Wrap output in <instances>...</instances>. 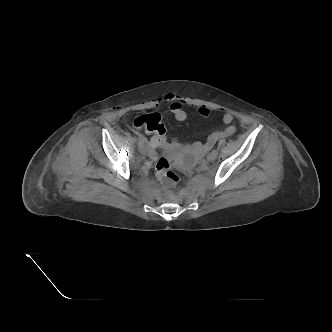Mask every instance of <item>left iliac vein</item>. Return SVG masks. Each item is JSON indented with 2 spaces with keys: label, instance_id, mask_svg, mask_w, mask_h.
Segmentation results:
<instances>
[{
  "label": "left iliac vein",
  "instance_id": "left-iliac-vein-1",
  "mask_svg": "<svg viewBox=\"0 0 332 332\" xmlns=\"http://www.w3.org/2000/svg\"><path fill=\"white\" fill-rule=\"evenodd\" d=\"M216 158V155H214L212 152L207 155V160L212 161Z\"/></svg>",
  "mask_w": 332,
  "mask_h": 332
}]
</instances>
